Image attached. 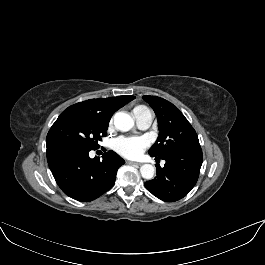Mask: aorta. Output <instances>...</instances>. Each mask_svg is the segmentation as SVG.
Masks as SVG:
<instances>
[{
    "instance_id": "obj_1",
    "label": "aorta",
    "mask_w": 265,
    "mask_h": 265,
    "mask_svg": "<svg viewBox=\"0 0 265 265\" xmlns=\"http://www.w3.org/2000/svg\"><path fill=\"white\" fill-rule=\"evenodd\" d=\"M114 125L121 132H127L134 126L133 118L124 112H119L114 116ZM141 176L144 179H152L155 173V168L151 164H143L140 167Z\"/></svg>"
}]
</instances>
